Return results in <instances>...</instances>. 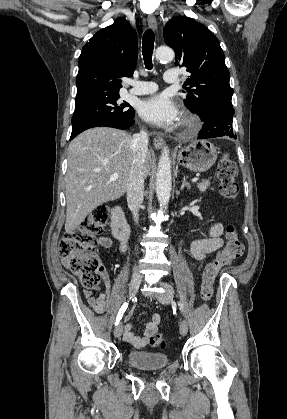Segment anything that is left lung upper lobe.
I'll list each match as a JSON object with an SVG mask.
<instances>
[{
	"mask_svg": "<svg viewBox=\"0 0 287 419\" xmlns=\"http://www.w3.org/2000/svg\"><path fill=\"white\" fill-rule=\"evenodd\" d=\"M164 38L174 49L176 66L191 73L186 85V106L204 114L207 107L219 101H231L233 89L229 71L217 37L203 24L188 17H174L164 28Z\"/></svg>",
	"mask_w": 287,
	"mask_h": 419,
	"instance_id": "obj_1",
	"label": "left lung upper lobe"
}]
</instances>
